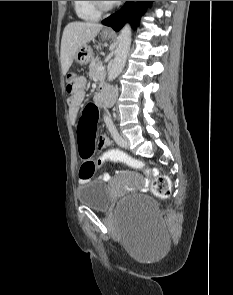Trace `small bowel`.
<instances>
[{
	"label": "small bowel",
	"mask_w": 233,
	"mask_h": 295,
	"mask_svg": "<svg viewBox=\"0 0 233 295\" xmlns=\"http://www.w3.org/2000/svg\"><path fill=\"white\" fill-rule=\"evenodd\" d=\"M83 100H84V94H81L75 98H68L69 116L72 121H75L77 119ZM85 110L95 112L97 114L96 108L93 105L87 106ZM98 145L100 148L108 147L110 145V139L106 136H101L99 138ZM102 179L105 181H109L110 180L109 174L107 173L103 174Z\"/></svg>",
	"instance_id": "1"
}]
</instances>
